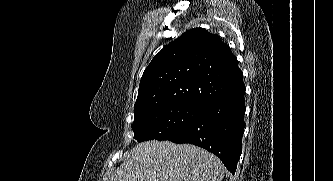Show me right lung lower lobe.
I'll return each mask as SVG.
<instances>
[{
	"instance_id": "obj_1",
	"label": "right lung lower lobe",
	"mask_w": 333,
	"mask_h": 181,
	"mask_svg": "<svg viewBox=\"0 0 333 181\" xmlns=\"http://www.w3.org/2000/svg\"><path fill=\"white\" fill-rule=\"evenodd\" d=\"M244 94L245 89L207 104L190 126L169 140L203 147L217 155L234 174L242 152Z\"/></svg>"
}]
</instances>
